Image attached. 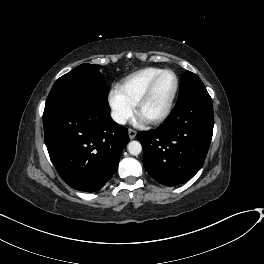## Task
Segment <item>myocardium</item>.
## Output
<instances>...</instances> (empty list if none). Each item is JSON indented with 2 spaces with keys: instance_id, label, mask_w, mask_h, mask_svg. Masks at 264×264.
<instances>
[{
  "instance_id": "1",
  "label": "myocardium",
  "mask_w": 264,
  "mask_h": 264,
  "mask_svg": "<svg viewBox=\"0 0 264 264\" xmlns=\"http://www.w3.org/2000/svg\"><path fill=\"white\" fill-rule=\"evenodd\" d=\"M164 74H171L174 77V81H175L174 88H173V91H172V93L170 95V98H169L164 110L160 114H158L156 117L145 120V122L148 123V124H159V123H161L162 121H164L168 117V115L170 114V112H171V110L173 108V105H174V102H175V99H176V96H177V93H178L179 80H178L177 75L171 70H162L158 75H156L151 80V82L148 84V86L146 87L144 92L141 94V96L139 97V99L135 103L136 113H139L140 108L150 98V96L152 95L156 84L158 83L159 79Z\"/></svg>"
}]
</instances>
